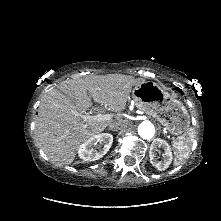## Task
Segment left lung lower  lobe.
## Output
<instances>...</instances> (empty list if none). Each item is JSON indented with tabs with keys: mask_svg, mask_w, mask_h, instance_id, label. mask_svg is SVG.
Instances as JSON below:
<instances>
[{
	"mask_svg": "<svg viewBox=\"0 0 221 221\" xmlns=\"http://www.w3.org/2000/svg\"><path fill=\"white\" fill-rule=\"evenodd\" d=\"M176 90L183 94V92L180 88H176Z\"/></svg>",
	"mask_w": 221,
	"mask_h": 221,
	"instance_id": "obj_1",
	"label": "left lung lower lobe"
}]
</instances>
